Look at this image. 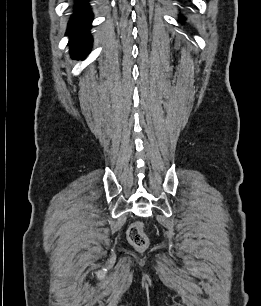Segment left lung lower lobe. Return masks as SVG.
<instances>
[{"mask_svg": "<svg viewBox=\"0 0 261 306\" xmlns=\"http://www.w3.org/2000/svg\"><path fill=\"white\" fill-rule=\"evenodd\" d=\"M181 21H184V18L183 17H181V19H180Z\"/></svg>", "mask_w": 261, "mask_h": 306, "instance_id": "obj_1", "label": "left lung lower lobe"}]
</instances>
